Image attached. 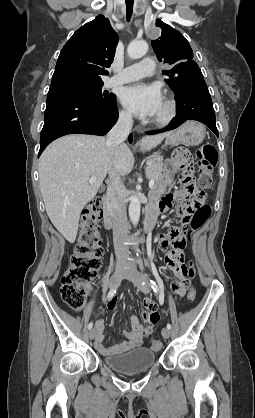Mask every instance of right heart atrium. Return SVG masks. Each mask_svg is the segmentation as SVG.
Instances as JSON below:
<instances>
[{
	"label": "right heart atrium",
	"mask_w": 255,
	"mask_h": 418,
	"mask_svg": "<svg viewBox=\"0 0 255 418\" xmlns=\"http://www.w3.org/2000/svg\"><path fill=\"white\" fill-rule=\"evenodd\" d=\"M119 119L123 123H129L131 121V116L126 110H121L119 112Z\"/></svg>",
	"instance_id": "1"
}]
</instances>
